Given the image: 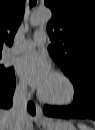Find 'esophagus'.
<instances>
[{
	"instance_id": "34e87169",
	"label": "esophagus",
	"mask_w": 95,
	"mask_h": 130,
	"mask_svg": "<svg viewBox=\"0 0 95 130\" xmlns=\"http://www.w3.org/2000/svg\"><path fill=\"white\" fill-rule=\"evenodd\" d=\"M35 118L38 121L46 120V117L44 116L42 107L40 105H36V116H35Z\"/></svg>"
}]
</instances>
